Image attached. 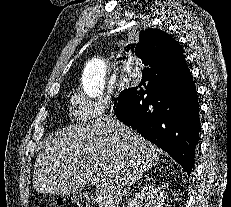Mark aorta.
Segmentation results:
<instances>
[{
  "label": "aorta",
  "instance_id": "1",
  "mask_svg": "<svg viewBox=\"0 0 231 207\" xmlns=\"http://www.w3.org/2000/svg\"><path fill=\"white\" fill-rule=\"evenodd\" d=\"M106 65L103 59L94 57L86 64L82 76L84 92L90 98H96L103 93Z\"/></svg>",
  "mask_w": 231,
  "mask_h": 207
}]
</instances>
